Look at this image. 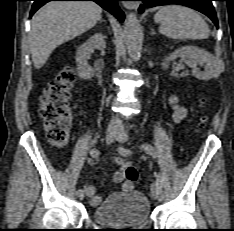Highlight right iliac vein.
Listing matches in <instances>:
<instances>
[{"label":"right iliac vein","instance_id":"1","mask_svg":"<svg viewBox=\"0 0 234 231\" xmlns=\"http://www.w3.org/2000/svg\"><path fill=\"white\" fill-rule=\"evenodd\" d=\"M119 136V132L116 129H108L106 133V142L107 144H111L115 139ZM80 200H83L84 193L77 194Z\"/></svg>","mask_w":234,"mask_h":231}]
</instances>
